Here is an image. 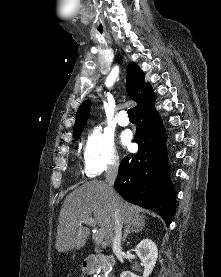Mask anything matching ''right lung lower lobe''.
<instances>
[{"label":"right lung lower lobe","mask_w":221,"mask_h":277,"mask_svg":"<svg viewBox=\"0 0 221 277\" xmlns=\"http://www.w3.org/2000/svg\"><path fill=\"white\" fill-rule=\"evenodd\" d=\"M155 97L136 112L138 153L120 163L114 187L128 202L156 211L170 225L175 192L167 167L165 132L154 108Z\"/></svg>","instance_id":"right-lung-lower-lobe-1"}]
</instances>
